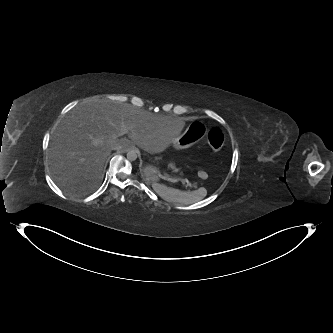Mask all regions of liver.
<instances>
[{
    "label": "liver",
    "mask_w": 333,
    "mask_h": 333,
    "mask_svg": "<svg viewBox=\"0 0 333 333\" xmlns=\"http://www.w3.org/2000/svg\"><path fill=\"white\" fill-rule=\"evenodd\" d=\"M125 125L129 139L113 135ZM183 130V123L128 103L90 99L69 111L55 129L47 162L57 185L71 194L98 188L114 145L130 143L150 154L163 152Z\"/></svg>",
    "instance_id": "6515ba94"
}]
</instances>
